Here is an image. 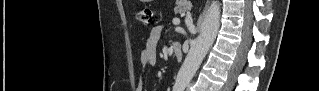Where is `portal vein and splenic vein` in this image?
Masks as SVG:
<instances>
[{
	"label": "portal vein and splenic vein",
	"mask_w": 319,
	"mask_h": 91,
	"mask_svg": "<svg viewBox=\"0 0 319 91\" xmlns=\"http://www.w3.org/2000/svg\"><path fill=\"white\" fill-rule=\"evenodd\" d=\"M173 23L174 24H180V20L179 19H173Z\"/></svg>",
	"instance_id": "portal-vein-and-splenic-vein-1"
}]
</instances>
